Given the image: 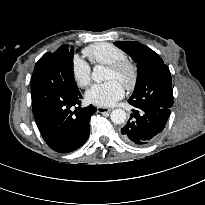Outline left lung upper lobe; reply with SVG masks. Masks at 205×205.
Wrapping results in <instances>:
<instances>
[{
    "label": "left lung upper lobe",
    "mask_w": 205,
    "mask_h": 205,
    "mask_svg": "<svg viewBox=\"0 0 205 205\" xmlns=\"http://www.w3.org/2000/svg\"><path fill=\"white\" fill-rule=\"evenodd\" d=\"M137 63V81L128 102L134 106L170 108L173 104L172 78L167 65L149 47L136 41L115 42Z\"/></svg>",
    "instance_id": "5c2ea615"
}]
</instances>
